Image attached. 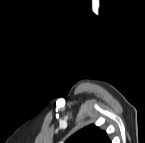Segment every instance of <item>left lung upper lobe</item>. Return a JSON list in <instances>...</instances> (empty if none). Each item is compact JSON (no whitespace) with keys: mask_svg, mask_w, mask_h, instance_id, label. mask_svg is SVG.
I'll list each match as a JSON object with an SVG mask.
<instances>
[{"mask_svg":"<svg viewBox=\"0 0 145 143\" xmlns=\"http://www.w3.org/2000/svg\"><path fill=\"white\" fill-rule=\"evenodd\" d=\"M66 143H111V141L105 131L90 125L72 135Z\"/></svg>","mask_w":145,"mask_h":143,"instance_id":"1","label":"left lung upper lobe"}]
</instances>
